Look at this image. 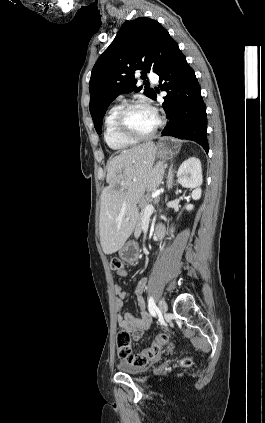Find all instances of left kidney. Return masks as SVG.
Returning a JSON list of instances; mask_svg holds the SVG:
<instances>
[{"label":"left kidney","instance_id":"left-kidney-1","mask_svg":"<svg viewBox=\"0 0 265 423\" xmlns=\"http://www.w3.org/2000/svg\"><path fill=\"white\" fill-rule=\"evenodd\" d=\"M178 183L184 188L193 189L192 199L199 200L202 194L200 186L202 185V168L201 162L196 157H190L185 160L179 167L177 172ZM194 208L192 204L186 206L187 211Z\"/></svg>","mask_w":265,"mask_h":423}]
</instances>
